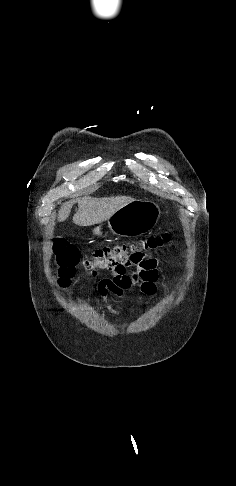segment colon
Segmentation results:
<instances>
[{
	"label": "colon",
	"mask_w": 236,
	"mask_h": 486,
	"mask_svg": "<svg viewBox=\"0 0 236 486\" xmlns=\"http://www.w3.org/2000/svg\"><path fill=\"white\" fill-rule=\"evenodd\" d=\"M169 240V235L151 237L139 244H121L97 249L92 256L83 261L87 273L94 275L98 270H117L126 263L143 257L144 250H154ZM55 265L58 283L66 287L74 276L75 267L79 262L78 249L62 240L54 245Z\"/></svg>",
	"instance_id": "obj_1"
}]
</instances>
